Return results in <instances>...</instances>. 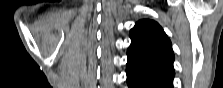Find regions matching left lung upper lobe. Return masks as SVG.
Instances as JSON below:
<instances>
[{
  "instance_id": "obj_1",
  "label": "left lung upper lobe",
  "mask_w": 223,
  "mask_h": 88,
  "mask_svg": "<svg viewBox=\"0 0 223 88\" xmlns=\"http://www.w3.org/2000/svg\"><path fill=\"white\" fill-rule=\"evenodd\" d=\"M130 38L128 63L174 77L171 41L157 22L149 19L138 21L130 31Z\"/></svg>"
}]
</instances>
